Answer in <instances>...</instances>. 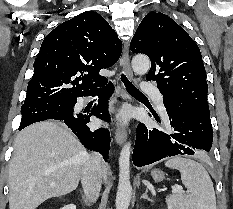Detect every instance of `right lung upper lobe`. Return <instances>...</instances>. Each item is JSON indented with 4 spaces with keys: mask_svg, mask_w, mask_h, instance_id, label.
<instances>
[{
    "mask_svg": "<svg viewBox=\"0 0 233 209\" xmlns=\"http://www.w3.org/2000/svg\"><path fill=\"white\" fill-rule=\"evenodd\" d=\"M122 42L98 13L63 22L43 40L24 103L75 100L105 85L99 71L120 57Z\"/></svg>",
    "mask_w": 233,
    "mask_h": 209,
    "instance_id": "obj_1",
    "label": "right lung upper lobe"
}]
</instances>
